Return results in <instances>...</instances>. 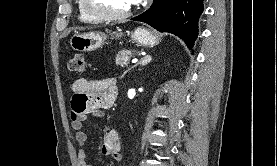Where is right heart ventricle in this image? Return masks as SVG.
I'll use <instances>...</instances> for the list:
<instances>
[{
  "label": "right heart ventricle",
  "mask_w": 277,
  "mask_h": 166,
  "mask_svg": "<svg viewBox=\"0 0 277 166\" xmlns=\"http://www.w3.org/2000/svg\"><path fill=\"white\" fill-rule=\"evenodd\" d=\"M79 16L80 19L84 22H89V23H96L99 22L100 20L94 19L92 17H90L89 15H87L81 8L80 4H79Z\"/></svg>",
  "instance_id": "obj_1"
}]
</instances>
